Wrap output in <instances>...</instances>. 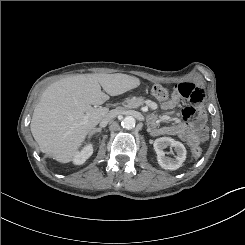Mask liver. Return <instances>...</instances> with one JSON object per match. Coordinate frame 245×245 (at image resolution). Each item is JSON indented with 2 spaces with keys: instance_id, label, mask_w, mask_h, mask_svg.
<instances>
[{
  "instance_id": "1",
  "label": "liver",
  "mask_w": 245,
  "mask_h": 245,
  "mask_svg": "<svg viewBox=\"0 0 245 245\" xmlns=\"http://www.w3.org/2000/svg\"><path fill=\"white\" fill-rule=\"evenodd\" d=\"M139 85V78L121 73L74 75L52 83L30 124L40 150L59 162L72 161L88 133L108 114V108L91 105H102L109 95H121Z\"/></svg>"
}]
</instances>
